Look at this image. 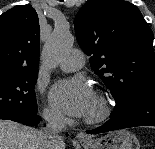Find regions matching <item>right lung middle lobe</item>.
<instances>
[{
	"label": "right lung middle lobe",
	"instance_id": "1",
	"mask_svg": "<svg viewBox=\"0 0 155 149\" xmlns=\"http://www.w3.org/2000/svg\"><path fill=\"white\" fill-rule=\"evenodd\" d=\"M38 71L0 70V117L23 122L37 112Z\"/></svg>",
	"mask_w": 155,
	"mask_h": 149
}]
</instances>
